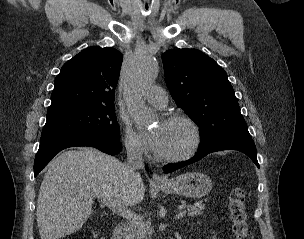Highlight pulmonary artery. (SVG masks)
I'll list each match as a JSON object with an SVG mask.
<instances>
[{"label":"pulmonary artery","mask_w":304,"mask_h":239,"mask_svg":"<svg viewBox=\"0 0 304 239\" xmlns=\"http://www.w3.org/2000/svg\"><path fill=\"white\" fill-rule=\"evenodd\" d=\"M145 98L149 104L158 108H164L168 102L166 92L160 86H151L146 91Z\"/></svg>","instance_id":"pulmonary-artery-1"}]
</instances>
